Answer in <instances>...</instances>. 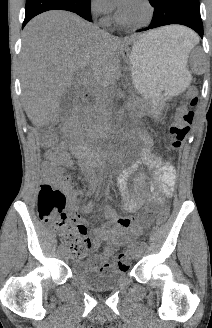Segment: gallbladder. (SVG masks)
<instances>
[{
  "instance_id": "bac80fb5",
  "label": "gallbladder",
  "mask_w": 212,
  "mask_h": 328,
  "mask_svg": "<svg viewBox=\"0 0 212 328\" xmlns=\"http://www.w3.org/2000/svg\"><path fill=\"white\" fill-rule=\"evenodd\" d=\"M76 100V91L74 89L66 90L60 98L61 115H67L73 108Z\"/></svg>"
}]
</instances>
